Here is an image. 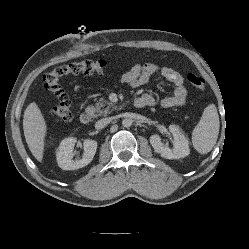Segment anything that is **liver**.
<instances>
[{"label":"liver","instance_id":"liver-1","mask_svg":"<svg viewBox=\"0 0 249 249\" xmlns=\"http://www.w3.org/2000/svg\"><path fill=\"white\" fill-rule=\"evenodd\" d=\"M23 130L29 150L41 162L44 154L47 125L41 110L35 102L30 103L24 111Z\"/></svg>","mask_w":249,"mask_h":249}]
</instances>
